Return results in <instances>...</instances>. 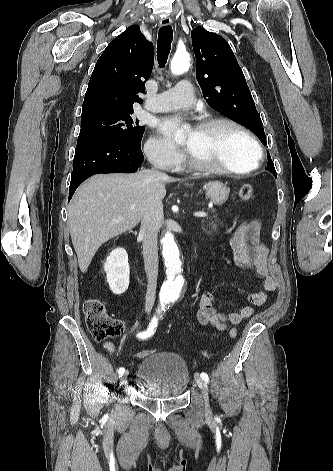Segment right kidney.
I'll return each mask as SVG.
<instances>
[{"label":"right kidney","mask_w":333,"mask_h":471,"mask_svg":"<svg viewBox=\"0 0 333 471\" xmlns=\"http://www.w3.org/2000/svg\"><path fill=\"white\" fill-rule=\"evenodd\" d=\"M104 270L110 290L114 294L121 295L128 289L130 268L128 254L123 248H117L109 254Z\"/></svg>","instance_id":"right-kidney-1"}]
</instances>
